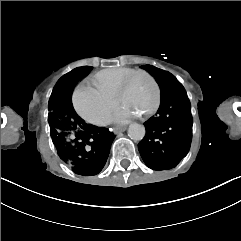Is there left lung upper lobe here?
Instances as JSON below:
<instances>
[{"instance_id":"obj_1","label":"left lung upper lobe","mask_w":241,"mask_h":241,"mask_svg":"<svg viewBox=\"0 0 241 241\" xmlns=\"http://www.w3.org/2000/svg\"><path fill=\"white\" fill-rule=\"evenodd\" d=\"M141 68L147 70L151 75H153L158 82L161 95H164L171 89L183 87L178 80L169 72L158 69L152 65H144Z\"/></svg>"}]
</instances>
